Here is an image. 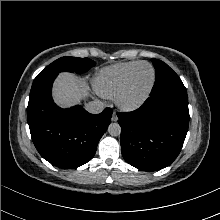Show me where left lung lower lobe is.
I'll return each mask as SVG.
<instances>
[{"label":"left lung lower lobe","instance_id":"obj_1","mask_svg":"<svg viewBox=\"0 0 220 220\" xmlns=\"http://www.w3.org/2000/svg\"><path fill=\"white\" fill-rule=\"evenodd\" d=\"M118 118L125 161L143 171H157L181 151L189 125L188 101L150 96L140 108L118 113Z\"/></svg>","mask_w":220,"mask_h":220}]
</instances>
